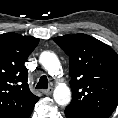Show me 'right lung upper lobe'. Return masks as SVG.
<instances>
[{
    "label": "right lung upper lobe",
    "mask_w": 118,
    "mask_h": 118,
    "mask_svg": "<svg viewBox=\"0 0 118 118\" xmlns=\"http://www.w3.org/2000/svg\"><path fill=\"white\" fill-rule=\"evenodd\" d=\"M38 42L32 36L0 35V118H29L39 100L29 89L24 66Z\"/></svg>",
    "instance_id": "cb5924a9"
}]
</instances>
